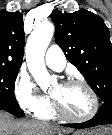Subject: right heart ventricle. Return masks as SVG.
Segmentation results:
<instances>
[{
  "instance_id": "e07e8e85",
  "label": "right heart ventricle",
  "mask_w": 112,
  "mask_h": 135,
  "mask_svg": "<svg viewBox=\"0 0 112 135\" xmlns=\"http://www.w3.org/2000/svg\"><path fill=\"white\" fill-rule=\"evenodd\" d=\"M36 115L41 119L50 120L55 117L56 113L53 111L52 107L48 105L43 110L37 112Z\"/></svg>"
}]
</instances>
